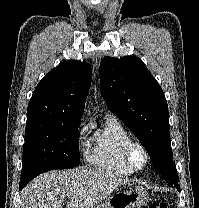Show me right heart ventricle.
Listing matches in <instances>:
<instances>
[{"mask_svg": "<svg viewBox=\"0 0 199 208\" xmlns=\"http://www.w3.org/2000/svg\"><path fill=\"white\" fill-rule=\"evenodd\" d=\"M129 138L128 131L117 119L106 117L92 136L91 149L86 157L88 163L106 172L131 175L133 171L125 165L121 157L122 146Z\"/></svg>", "mask_w": 199, "mask_h": 208, "instance_id": "obj_1", "label": "right heart ventricle"}]
</instances>
